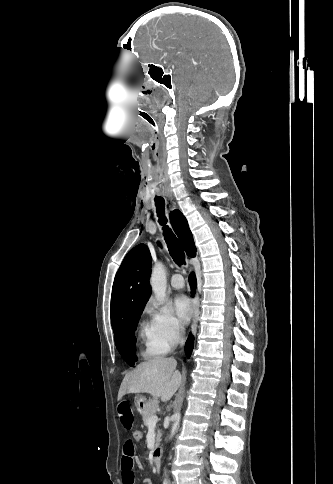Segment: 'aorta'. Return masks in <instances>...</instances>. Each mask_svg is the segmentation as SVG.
Returning <instances> with one entry per match:
<instances>
[{
	"instance_id": "obj_1",
	"label": "aorta",
	"mask_w": 333,
	"mask_h": 484,
	"mask_svg": "<svg viewBox=\"0 0 333 484\" xmlns=\"http://www.w3.org/2000/svg\"><path fill=\"white\" fill-rule=\"evenodd\" d=\"M150 284L152 287V291L154 292L156 297H158L159 299H164L166 297V289H167L166 275L160 265H156L152 269ZM180 419H181V414L179 412L173 415L174 422L171 428L170 437H173L175 433L178 431Z\"/></svg>"
}]
</instances>
